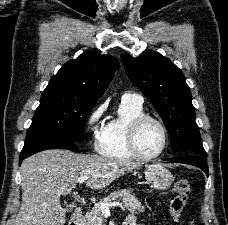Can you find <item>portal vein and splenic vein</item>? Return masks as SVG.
<instances>
[{"label":"portal vein and splenic vein","instance_id":"18ae733b","mask_svg":"<svg viewBox=\"0 0 228 225\" xmlns=\"http://www.w3.org/2000/svg\"><path fill=\"white\" fill-rule=\"evenodd\" d=\"M89 177H79L78 183H84V181H88ZM96 179V177H94ZM120 205L122 207V203H100L101 213H109L110 207H117Z\"/></svg>","mask_w":228,"mask_h":225}]
</instances>
